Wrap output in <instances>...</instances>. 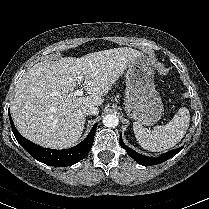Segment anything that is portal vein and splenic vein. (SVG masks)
<instances>
[{"mask_svg": "<svg viewBox=\"0 0 209 209\" xmlns=\"http://www.w3.org/2000/svg\"><path fill=\"white\" fill-rule=\"evenodd\" d=\"M82 80H83V76H78V77H77L78 83H81ZM73 95H74V96H82V95H83V90H82V89L75 90V91L73 92Z\"/></svg>", "mask_w": 209, "mask_h": 209, "instance_id": "obj_1", "label": "portal vein and splenic vein"}]
</instances>
